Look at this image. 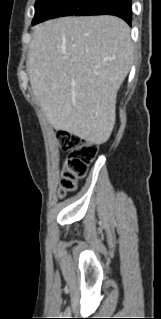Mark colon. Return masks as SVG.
I'll return each mask as SVG.
<instances>
[{"instance_id":"5ec220e1","label":"colon","mask_w":161,"mask_h":319,"mask_svg":"<svg viewBox=\"0 0 161 319\" xmlns=\"http://www.w3.org/2000/svg\"><path fill=\"white\" fill-rule=\"evenodd\" d=\"M57 138L60 148L68 152L59 184L60 194L65 195L74 191L78 181L86 176L88 166L97 154V144L67 132H58Z\"/></svg>"}]
</instances>
